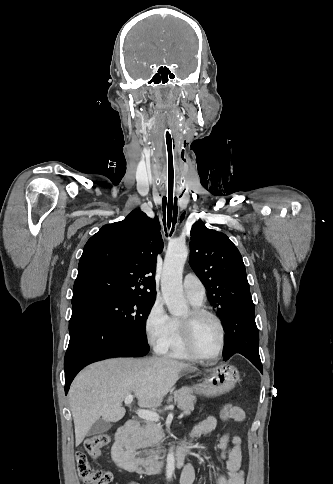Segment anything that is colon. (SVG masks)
<instances>
[{
  "mask_svg": "<svg viewBox=\"0 0 333 484\" xmlns=\"http://www.w3.org/2000/svg\"><path fill=\"white\" fill-rule=\"evenodd\" d=\"M234 407L231 404L224 405L220 410V417L227 419ZM110 440L107 434L90 437L84 443L85 451L76 454L79 477L84 483L109 484L112 481V474L109 471L101 469L90 461V458L96 459L99 456L101 449L107 446Z\"/></svg>",
  "mask_w": 333,
  "mask_h": 484,
  "instance_id": "1",
  "label": "colon"
}]
</instances>
